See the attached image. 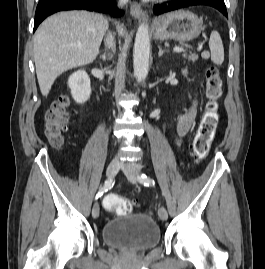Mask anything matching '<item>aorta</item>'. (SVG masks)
Here are the masks:
<instances>
[{
    "instance_id": "obj_1",
    "label": "aorta",
    "mask_w": 265,
    "mask_h": 269,
    "mask_svg": "<svg viewBox=\"0 0 265 269\" xmlns=\"http://www.w3.org/2000/svg\"><path fill=\"white\" fill-rule=\"evenodd\" d=\"M150 37L147 24H141L137 30L134 51L133 65L134 75L137 81L146 79L149 71Z\"/></svg>"
}]
</instances>
